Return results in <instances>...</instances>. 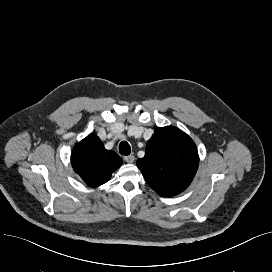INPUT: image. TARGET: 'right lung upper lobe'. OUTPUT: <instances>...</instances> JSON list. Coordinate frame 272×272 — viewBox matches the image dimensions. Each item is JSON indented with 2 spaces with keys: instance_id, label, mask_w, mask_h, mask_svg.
<instances>
[{
  "instance_id": "cb5924a9",
  "label": "right lung upper lobe",
  "mask_w": 272,
  "mask_h": 272,
  "mask_svg": "<svg viewBox=\"0 0 272 272\" xmlns=\"http://www.w3.org/2000/svg\"><path fill=\"white\" fill-rule=\"evenodd\" d=\"M73 169L90 187L106 183L122 165V159L113 150H106L97 135L90 134L73 149Z\"/></svg>"
}]
</instances>
